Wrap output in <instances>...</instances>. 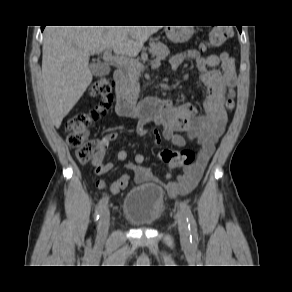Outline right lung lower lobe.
<instances>
[{
    "instance_id": "98d812e1",
    "label": "right lung lower lobe",
    "mask_w": 292,
    "mask_h": 292,
    "mask_svg": "<svg viewBox=\"0 0 292 292\" xmlns=\"http://www.w3.org/2000/svg\"><path fill=\"white\" fill-rule=\"evenodd\" d=\"M44 27H45V26H41V30H42V31H43Z\"/></svg>"
}]
</instances>
